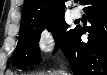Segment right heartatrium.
Wrapping results in <instances>:
<instances>
[{
    "instance_id": "right-heart-atrium-1",
    "label": "right heart atrium",
    "mask_w": 107,
    "mask_h": 75,
    "mask_svg": "<svg viewBox=\"0 0 107 75\" xmlns=\"http://www.w3.org/2000/svg\"><path fill=\"white\" fill-rule=\"evenodd\" d=\"M56 45V36L53 30L45 27L39 34L37 39L38 50L41 54H50Z\"/></svg>"
}]
</instances>
